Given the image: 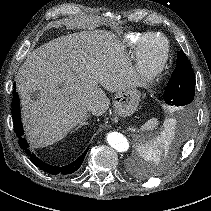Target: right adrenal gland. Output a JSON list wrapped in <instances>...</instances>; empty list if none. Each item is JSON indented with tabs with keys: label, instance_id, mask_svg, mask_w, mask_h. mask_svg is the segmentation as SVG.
<instances>
[{
	"label": "right adrenal gland",
	"instance_id": "right-adrenal-gland-1",
	"mask_svg": "<svg viewBox=\"0 0 211 211\" xmlns=\"http://www.w3.org/2000/svg\"><path fill=\"white\" fill-rule=\"evenodd\" d=\"M89 116H90V115H87V116L84 118V120L75 128L74 131H76L77 129H79V128L82 127V126L87 125L88 123H87L86 121H87V119H88ZM74 131H73V132H74Z\"/></svg>",
	"mask_w": 211,
	"mask_h": 211
}]
</instances>
